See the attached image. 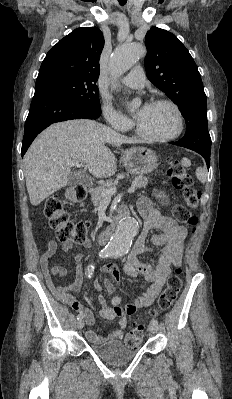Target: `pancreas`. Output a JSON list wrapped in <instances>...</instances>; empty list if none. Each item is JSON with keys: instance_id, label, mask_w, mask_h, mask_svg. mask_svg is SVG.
Instances as JSON below:
<instances>
[{"instance_id": "obj_1", "label": "pancreas", "mask_w": 232, "mask_h": 399, "mask_svg": "<svg viewBox=\"0 0 232 399\" xmlns=\"http://www.w3.org/2000/svg\"><path fill=\"white\" fill-rule=\"evenodd\" d=\"M148 182L149 178H147V176L139 174V176H136L135 180H133L132 186L137 190V188H145ZM117 186L118 180H107L106 184H100L95 190H90L93 205H99L100 201L105 200L106 194H104V190H116Z\"/></svg>"}]
</instances>
